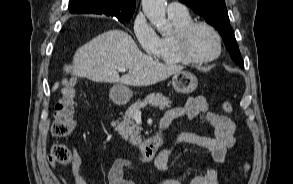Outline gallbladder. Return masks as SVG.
Segmentation results:
<instances>
[{
    "mask_svg": "<svg viewBox=\"0 0 293 184\" xmlns=\"http://www.w3.org/2000/svg\"><path fill=\"white\" fill-rule=\"evenodd\" d=\"M76 81H77L76 78H72V79L70 80V83L74 85V84L76 83Z\"/></svg>",
    "mask_w": 293,
    "mask_h": 184,
    "instance_id": "obj_1",
    "label": "gallbladder"
}]
</instances>
